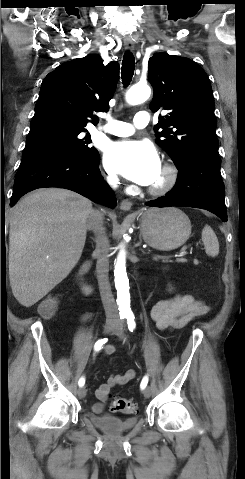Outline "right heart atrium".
<instances>
[{"instance_id":"obj_1","label":"right heart atrium","mask_w":245,"mask_h":479,"mask_svg":"<svg viewBox=\"0 0 245 479\" xmlns=\"http://www.w3.org/2000/svg\"><path fill=\"white\" fill-rule=\"evenodd\" d=\"M105 179L107 183L112 186H116L119 183L118 177L113 172H107L105 175Z\"/></svg>"}]
</instances>
